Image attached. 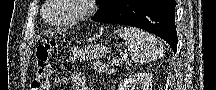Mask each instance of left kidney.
<instances>
[{
    "instance_id": "obj_1",
    "label": "left kidney",
    "mask_w": 216,
    "mask_h": 90,
    "mask_svg": "<svg viewBox=\"0 0 216 90\" xmlns=\"http://www.w3.org/2000/svg\"><path fill=\"white\" fill-rule=\"evenodd\" d=\"M151 74L128 76L119 86V90H152Z\"/></svg>"
}]
</instances>
